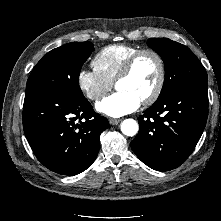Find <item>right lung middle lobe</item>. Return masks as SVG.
I'll return each instance as SVG.
<instances>
[{"label":"right lung middle lobe","mask_w":221,"mask_h":221,"mask_svg":"<svg viewBox=\"0 0 221 221\" xmlns=\"http://www.w3.org/2000/svg\"><path fill=\"white\" fill-rule=\"evenodd\" d=\"M93 46L89 41L74 42L51 50L34 67L26 89L36 88L73 98L84 97L79 87V74L94 50Z\"/></svg>","instance_id":"obj_1"}]
</instances>
